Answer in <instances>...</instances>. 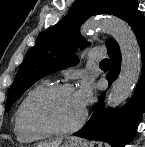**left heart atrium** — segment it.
<instances>
[{
	"instance_id": "1",
	"label": "left heart atrium",
	"mask_w": 145,
	"mask_h": 147,
	"mask_svg": "<svg viewBox=\"0 0 145 147\" xmlns=\"http://www.w3.org/2000/svg\"><path fill=\"white\" fill-rule=\"evenodd\" d=\"M76 96L83 108L87 105L90 96H91V87L90 84L83 80L79 87L75 90Z\"/></svg>"
}]
</instances>
